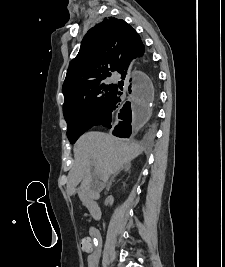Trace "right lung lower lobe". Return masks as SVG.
<instances>
[{"label": "right lung lower lobe", "mask_w": 225, "mask_h": 267, "mask_svg": "<svg viewBox=\"0 0 225 267\" xmlns=\"http://www.w3.org/2000/svg\"><path fill=\"white\" fill-rule=\"evenodd\" d=\"M144 55V45L143 43L137 44L134 48H132L125 56L124 61L121 65V67L117 70L121 75L122 78L125 79L126 75H130L133 65H134V60L136 58H141L147 63V57L143 56ZM150 74L153 76V70L149 69ZM145 83L149 86L152 87V80L149 76L143 75ZM131 86H129V91ZM123 89L121 87L116 88V92L108 106V108L104 111V113L100 116L98 121L94 124V126H99L102 125L107 128H113L114 123H113V115L112 112L117 109L121 103V95L123 94ZM133 91L136 94L137 93V87L136 84L133 87ZM124 122L121 124L115 126L114 129V135L119 136V137H128L130 134V125L129 122L126 123V119L123 118Z\"/></svg>", "instance_id": "obj_1"}]
</instances>
